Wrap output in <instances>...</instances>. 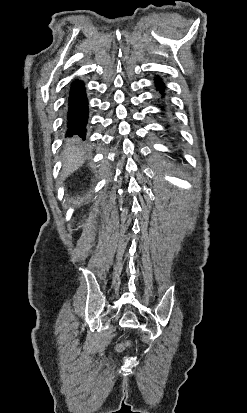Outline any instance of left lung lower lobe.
Listing matches in <instances>:
<instances>
[{
    "label": "left lung lower lobe",
    "instance_id": "1",
    "mask_svg": "<svg viewBox=\"0 0 247 413\" xmlns=\"http://www.w3.org/2000/svg\"><path fill=\"white\" fill-rule=\"evenodd\" d=\"M156 86H157V90L163 93L164 86H163V83L159 80V78L156 79Z\"/></svg>",
    "mask_w": 247,
    "mask_h": 413
}]
</instances>
